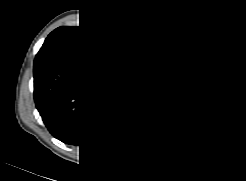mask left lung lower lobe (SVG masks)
<instances>
[{"mask_svg": "<svg viewBox=\"0 0 246 181\" xmlns=\"http://www.w3.org/2000/svg\"><path fill=\"white\" fill-rule=\"evenodd\" d=\"M218 84L214 59L201 55L193 57L187 70L172 83L139 87L135 109L147 138L158 146L193 138L214 112Z\"/></svg>", "mask_w": 246, "mask_h": 181, "instance_id": "obj_1", "label": "left lung lower lobe"}]
</instances>
